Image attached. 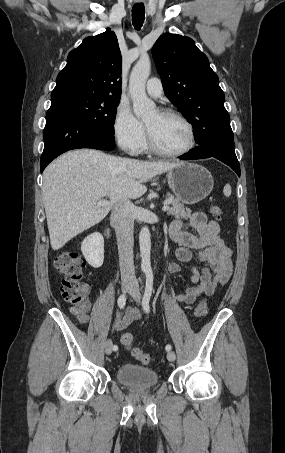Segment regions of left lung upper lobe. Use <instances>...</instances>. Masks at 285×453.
<instances>
[{
  "label": "left lung upper lobe",
  "instance_id": "5c2ea615",
  "mask_svg": "<svg viewBox=\"0 0 285 453\" xmlns=\"http://www.w3.org/2000/svg\"><path fill=\"white\" fill-rule=\"evenodd\" d=\"M152 55L165 94L192 124L196 143L215 136H233L218 76L195 42L165 33L154 44Z\"/></svg>",
  "mask_w": 285,
  "mask_h": 453
}]
</instances>
